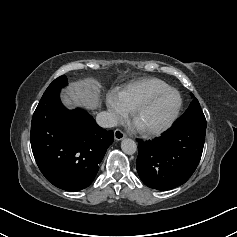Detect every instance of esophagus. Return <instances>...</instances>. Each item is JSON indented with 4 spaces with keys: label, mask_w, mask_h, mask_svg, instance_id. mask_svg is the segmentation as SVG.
I'll return each mask as SVG.
<instances>
[{
    "label": "esophagus",
    "mask_w": 237,
    "mask_h": 237,
    "mask_svg": "<svg viewBox=\"0 0 237 237\" xmlns=\"http://www.w3.org/2000/svg\"><path fill=\"white\" fill-rule=\"evenodd\" d=\"M114 137H115V140L120 141V140L124 139L126 137V135L122 130L116 129L114 131Z\"/></svg>",
    "instance_id": "esophagus-1"
}]
</instances>
